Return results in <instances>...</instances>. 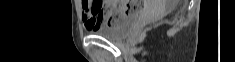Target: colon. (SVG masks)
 I'll return each mask as SVG.
<instances>
[{
  "instance_id": "1",
  "label": "colon",
  "mask_w": 235,
  "mask_h": 62,
  "mask_svg": "<svg viewBox=\"0 0 235 62\" xmlns=\"http://www.w3.org/2000/svg\"><path fill=\"white\" fill-rule=\"evenodd\" d=\"M127 1H121V2H112V5L110 7V17L108 21V25H114L118 23L125 15L128 13V9L124 6V3ZM95 9H102L104 6L102 3H94ZM139 9L138 4H136L133 7V11H136Z\"/></svg>"
}]
</instances>
